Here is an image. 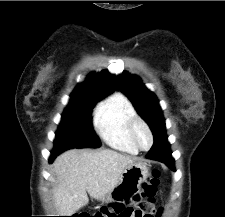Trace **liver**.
Instances as JSON below:
<instances>
[{
    "label": "liver",
    "instance_id": "obj_1",
    "mask_svg": "<svg viewBox=\"0 0 225 217\" xmlns=\"http://www.w3.org/2000/svg\"><path fill=\"white\" fill-rule=\"evenodd\" d=\"M137 158L114 150L72 149L53 163L56 186L53 200L60 216H72L87 205L90 197L104 200L119 182V178Z\"/></svg>",
    "mask_w": 225,
    "mask_h": 217
}]
</instances>
